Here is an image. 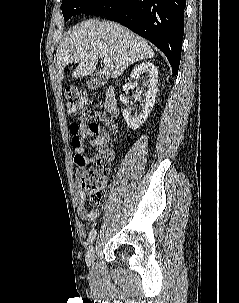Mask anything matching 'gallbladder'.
<instances>
[{
  "instance_id": "1",
  "label": "gallbladder",
  "mask_w": 239,
  "mask_h": 303,
  "mask_svg": "<svg viewBox=\"0 0 239 303\" xmlns=\"http://www.w3.org/2000/svg\"><path fill=\"white\" fill-rule=\"evenodd\" d=\"M106 82V77L103 75L101 71L94 73L90 79L86 82L87 87L89 89H96L101 87Z\"/></svg>"
}]
</instances>
